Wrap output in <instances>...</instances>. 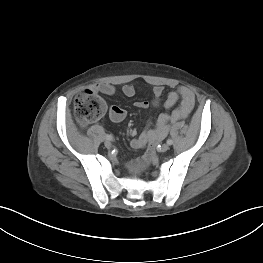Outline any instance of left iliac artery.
Listing matches in <instances>:
<instances>
[{
  "instance_id": "1",
  "label": "left iliac artery",
  "mask_w": 263,
  "mask_h": 263,
  "mask_svg": "<svg viewBox=\"0 0 263 263\" xmlns=\"http://www.w3.org/2000/svg\"><path fill=\"white\" fill-rule=\"evenodd\" d=\"M167 144H168V145H172V144H173V140H172V139H168V140H167Z\"/></svg>"
}]
</instances>
